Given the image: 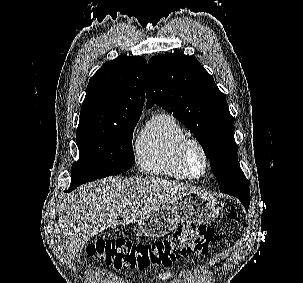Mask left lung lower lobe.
I'll use <instances>...</instances> for the list:
<instances>
[{
    "label": "left lung lower lobe",
    "mask_w": 303,
    "mask_h": 283,
    "mask_svg": "<svg viewBox=\"0 0 303 283\" xmlns=\"http://www.w3.org/2000/svg\"><path fill=\"white\" fill-rule=\"evenodd\" d=\"M222 192L237 197L241 201V203L244 205L246 210H248V207L250 204V196H248L242 192L234 191V190H225Z\"/></svg>",
    "instance_id": "obj_1"
}]
</instances>
